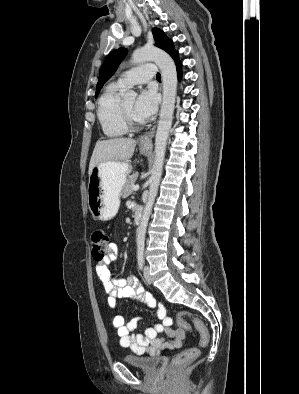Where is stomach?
I'll use <instances>...</instances> for the list:
<instances>
[{"instance_id":"0dacf381","label":"stomach","mask_w":299,"mask_h":394,"mask_svg":"<svg viewBox=\"0 0 299 394\" xmlns=\"http://www.w3.org/2000/svg\"><path fill=\"white\" fill-rule=\"evenodd\" d=\"M140 152L148 154V150L144 148H141ZM131 169L127 161L102 162L92 169L89 174L87 197L93 218L107 221L117 214L120 194Z\"/></svg>"}]
</instances>
